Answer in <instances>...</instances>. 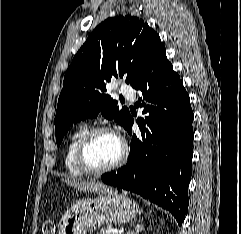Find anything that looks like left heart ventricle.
Here are the masks:
<instances>
[{
	"mask_svg": "<svg viewBox=\"0 0 241 234\" xmlns=\"http://www.w3.org/2000/svg\"><path fill=\"white\" fill-rule=\"evenodd\" d=\"M122 152V144L111 133H99L93 137L86 149V160L94 168H102L116 162Z\"/></svg>",
	"mask_w": 241,
	"mask_h": 234,
	"instance_id": "obj_1",
	"label": "left heart ventricle"
}]
</instances>
